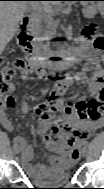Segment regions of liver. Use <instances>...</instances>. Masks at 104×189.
Here are the masks:
<instances>
[{
    "instance_id": "1",
    "label": "liver",
    "mask_w": 104,
    "mask_h": 189,
    "mask_svg": "<svg viewBox=\"0 0 104 189\" xmlns=\"http://www.w3.org/2000/svg\"><path fill=\"white\" fill-rule=\"evenodd\" d=\"M56 3V2H52ZM27 1H1L0 3V48L3 50L7 43L14 37L18 23L22 19ZM47 7L48 4H42Z\"/></svg>"
}]
</instances>
